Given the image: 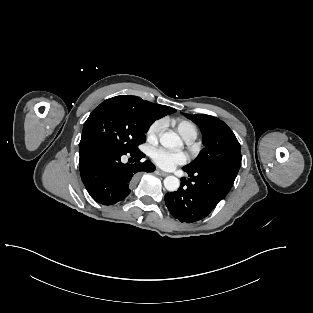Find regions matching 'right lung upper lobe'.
<instances>
[{
  "instance_id": "cb5924a9",
  "label": "right lung upper lobe",
  "mask_w": 313,
  "mask_h": 313,
  "mask_svg": "<svg viewBox=\"0 0 313 313\" xmlns=\"http://www.w3.org/2000/svg\"><path fill=\"white\" fill-rule=\"evenodd\" d=\"M116 97L130 100L131 102L141 106L155 120H157V119H159V118H161V117H163L165 115L172 114V113H174L176 111L174 108H171L169 106L150 103V102H148L146 100H142L140 97H136V96L121 95V96H116Z\"/></svg>"
}]
</instances>
